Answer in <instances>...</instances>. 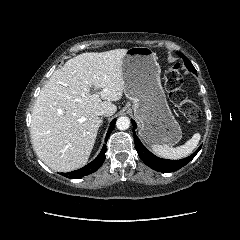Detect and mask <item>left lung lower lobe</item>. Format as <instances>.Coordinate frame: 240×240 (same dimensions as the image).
<instances>
[{
	"mask_svg": "<svg viewBox=\"0 0 240 240\" xmlns=\"http://www.w3.org/2000/svg\"><path fill=\"white\" fill-rule=\"evenodd\" d=\"M133 125V135L135 140V147L138 152V155L140 159L150 168L158 171V172H174L181 167L188 164L198 153V151L201 149V146L189 157L181 159V160H167V159H161L153 155L150 151H148L144 145L141 143L139 138L135 134V129L137 127L134 120H131Z\"/></svg>",
	"mask_w": 240,
	"mask_h": 240,
	"instance_id": "1",
	"label": "left lung lower lobe"
}]
</instances>
